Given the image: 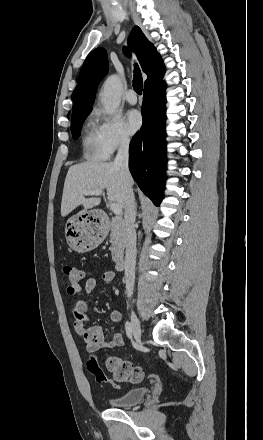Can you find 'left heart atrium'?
I'll use <instances>...</instances> for the list:
<instances>
[{
    "label": "left heart atrium",
    "mask_w": 263,
    "mask_h": 440,
    "mask_svg": "<svg viewBox=\"0 0 263 440\" xmlns=\"http://www.w3.org/2000/svg\"><path fill=\"white\" fill-rule=\"evenodd\" d=\"M142 125L141 114L137 110H130L126 114V128L129 133L134 134Z\"/></svg>",
    "instance_id": "left-heart-atrium-1"
}]
</instances>
